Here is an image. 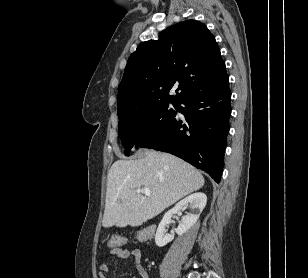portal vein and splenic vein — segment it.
<instances>
[{"instance_id": "18ae733b", "label": "portal vein and splenic vein", "mask_w": 308, "mask_h": 278, "mask_svg": "<svg viewBox=\"0 0 308 278\" xmlns=\"http://www.w3.org/2000/svg\"><path fill=\"white\" fill-rule=\"evenodd\" d=\"M136 192H138V193L141 192V193L145 194L146 196H150L151 195L150 189L147 188V187H144L142 189H138V190H136Z\"/></svg>"}]
</instances>
